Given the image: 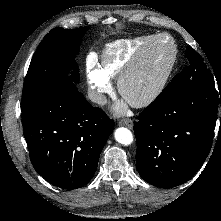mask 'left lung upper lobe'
<instances>
[{
  "label": "left lung upper lobe",
  "mask_w": 221,
  "mask_h": 221,
  "mask_svg": "<svg viewBox=\"0 0 221 221\" xmlns=\"http://www.w3.org/2000/svg\"><path fill=\"white\" fill-rule=\"evenodd\" d=\"M186 55L189 65L177 74L163 91H170L175 87L189 85L195 80L214 82L212 74L209 72L203 58L191 47H187Z\"/></svg>",
  "instance_id": "5c2ea615"
}]
</instances>
